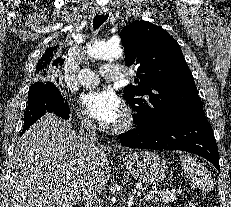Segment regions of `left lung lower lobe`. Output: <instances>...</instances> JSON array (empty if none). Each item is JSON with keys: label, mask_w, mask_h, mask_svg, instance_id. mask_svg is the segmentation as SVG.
I'll return each instance as SVG.
<instances>
[{"label": "left lung lower lobe", "mask_w": 231, "mask_h": 207, "mask_svg": "<svg viewBox=\"0 0 231 207\" xmlns=\"http://www.w3.org/2000/svg\"><path fill=\"white\" fill-rule=\"evenodd\" d=\"M119 138L123 145L132 148L181 150L200 155L220 172L217 144L203 109L181 113L155 129L137 126Z\"/></svg>", "instance_id": "0a47b994"}]
</instances>
